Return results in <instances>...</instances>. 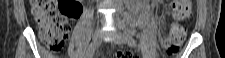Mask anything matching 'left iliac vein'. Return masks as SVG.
I'll return each mask as SVG.
<instances>
[{"instance_id":"1","label":"left iliac vein","mask_w":225,"mask_h":58,"mask_svg":"<svg viewBox=\"0 0 225 58\" xmlns=\"http://www.w3.org/2000/svg\"><path fill=\"white\" fill-rule=\"evenodd\" d=\"M114 42L116 43V44H126L127 42H128V38H127V36H125L123 33H121V32H117L116 34H115V39H114Z\"/></svg>"}]
</instances>
